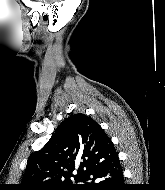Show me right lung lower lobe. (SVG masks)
I'll return each instance as SVG.
<instances>
[{
  "mask_svg": "<svg viewBox=\"0 0 165 190\" xmlns=\"http://www.w3.org/2000/svg\"><path fill=\"white\" fill-rule=\"evenodd\" d=\"M78 190H127L117 153L86 171Z\"/></svg>",
  "mask_w": 165,
  "mask_h": 190,
  "instance_id": "obj_1",
  "label": "right lung lower lobe"
}]
</instances>
